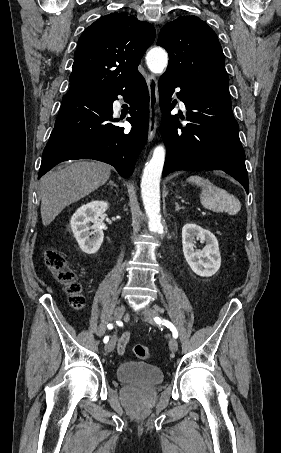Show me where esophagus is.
<instances>
[{"mask_svg": "<svg viewBox=\"0 0 281 453\" xmlns=\"http://www.w3.org/2000/svg\"><path fill=\"white\" fill-rule=\"evenodd\" d=\"M146 83L150 97L148 141H152L157 129L158 84L156 78L151 74L146 76Z\"/></svg>", "mask_w": 281, "mask_h": 453, "instance_id": "esophagus-1", "label": "esophagus"}]
</instances>
